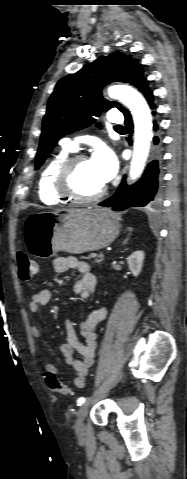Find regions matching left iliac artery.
<instances>
[{"instance_id":"obj_1","label":"left iliac artery","mask_w":187,"mask_h":479,"mask_svg":"<svg viewBox=\"0 0 187 479\" xmlns=\"http://www.w3.org/2000/svg\"><path fill=\"white\" fill-rule=\"evenodd\" d=\"M84 402H85V398H84V397H80V398L77 400V405H78V406H81Z\"/></svg>"}]
</instances>
